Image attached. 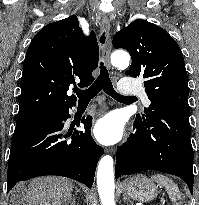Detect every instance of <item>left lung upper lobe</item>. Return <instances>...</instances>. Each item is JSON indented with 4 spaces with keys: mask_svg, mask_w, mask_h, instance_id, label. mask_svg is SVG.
<instances>
[{
    "mask_svg": "<svg viewBox=\"0 0 199 205\" xmlns=\"http://www.w3.org/2000/svg\"><path fill=\"white\" fill-rule=\"evenodd\" d=\"M113 46L129 51L132 64L125 74L145 79L150 105L190 114L183 54L164 29L145 20H135L114 35ZM144 112L136 120H148L150 114Z\"/></svg>",
    "mask_w": 199,
    "mask_h": 205,
    "instance_id": "5c2ea615",
    "label": "left lung upper lobe"
}]
</instances>
